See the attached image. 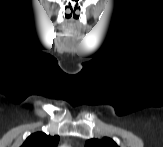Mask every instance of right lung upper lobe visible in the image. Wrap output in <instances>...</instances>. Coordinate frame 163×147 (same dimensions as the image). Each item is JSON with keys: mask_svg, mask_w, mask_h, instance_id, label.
<instances>
[{"mask_svg": "<svg viewBox=\"0 0 163 147\" xmlns=\"http://www.w3.org/2000/svg\"><path fill=\"white\" fill-rule=\"evenodd\" d=\"M59 136H50L43 132L31 134L21 147H56Z\"/></svg>", "mask_w": 163, "mask_h": 147, "instance_id": "obj_1", "label": "right lung upper lobe"}]
</instances>
